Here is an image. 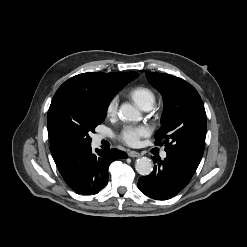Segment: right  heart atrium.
I'll list each match as a JSON object with an SVG mask.
<instances>
[{
  "label": "right heart atrium",
  "instance_id": "d8ad5b80",
  "mask_svg": "<svg viewBox=\"0 0 247 247\" xmlns=\"http://www.w3.org/2000/svg\"><path fill=\"white\" fill-rule=\"evenodd\" d=\"M118 109V99L116 97L112 98L106 107L107 116L111 117L116 115Z\"/></svg>",
  "mask_w": 247,
  "mask_h": 247
}]
</instances>
